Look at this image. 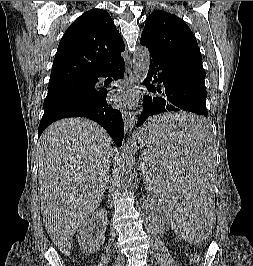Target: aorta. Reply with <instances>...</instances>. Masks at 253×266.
Returning <instances> with one entry per match:
<instances>
[{
  "label": "aorta",
  "instance_id": "762f6f07",
  "mask_svg": "<svg viewBox=\"0 0 253 266\" xmlns=\"http://www.w3.org/2000/svg\"><path fill=\"white\" fill-rule=\"evenodd\" d=\"M133 73L136 82H144L147 77L150 65V53L145 46H139L135 49ZM117 169L119 180L123 188L130 186L135 175V159L133 148L129 143H123L120 149Z\"/></svg>",
  "mask_w": 253,
  "mask_h": 266
}]
</instances>
